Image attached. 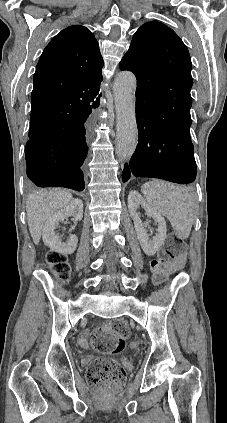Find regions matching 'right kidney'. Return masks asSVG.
Returning a JSON list of instances; mask_svg holds the SVG:
<instances>
[{
    "label": "right kidney",
    "mask_w": 227,
    "mask_h": 423,
    "mask_svg": "<svg viewBox=\"0 0 227 423\" xmlns=\"http://www.w3.org/2000/svg\"><path fill=\"white\" fill-rule=\"evenodd\" d=\"M67 215H73V221H80L82 219L83 204L81 200H72L63 210L55 211L49 217L48 221H46L42 233V239L45 245H48L52 251L63 253V255L74 253L78 243V237L74 233H70L68 241H62L60 235L55 231L60 221L66 219Z\"/></svg>",
    "instance_id": "right-kidney-1"
}]
</instances>
